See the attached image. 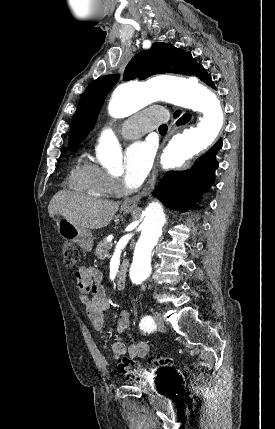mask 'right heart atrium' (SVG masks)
<instances>
[{"mask_svg":"<svg viewBox=\"0 0 275 429\" xmlns=\"http://www.w3.org/2000/svg\"><path fill=\"white\" fill-rule=\"evenodd\" d=\"M108 183H109V187H110L111 191H117L120 187L117 179L112 177V176H109Z\"/></svg>","mask_w":275,"mask_h":429,"instance_id":"d8ad5b80","label":"right heart atrium"}]
</instances>
